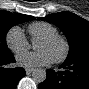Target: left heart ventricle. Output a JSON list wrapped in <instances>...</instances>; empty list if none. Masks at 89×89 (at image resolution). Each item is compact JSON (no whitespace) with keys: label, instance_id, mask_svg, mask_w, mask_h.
I'll return each instance as SVG.
<instances>
[{"label":"left heart ventricle","instance_id":"1","mask_svg":"<svg viewBox=\"0 0 89 89\" xmlns=\"http://www.w3.org/2000/svg\"><path fill=\"white\" fill-rule=\"evenodd\" d=\"M35 49L38 51H47L53 59L60 56L64 50V45L61 41L56 40L53 42L37 41Z\"/></svg>","mask_w":89,"mask_h":89}]
</instances>
